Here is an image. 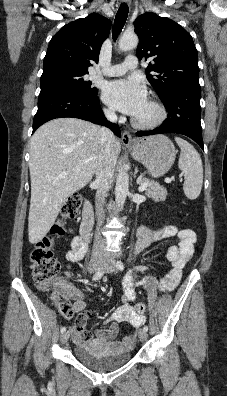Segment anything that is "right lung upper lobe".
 I'll list each match as a JSON object with an SVG mask.
<instances>
[{"label":"right lung upper lobe","instance_id":"right-lung-upper-lobe-1","mask_svg":"<svg viewBox=\"0 0 227 396\" xmlns=\"http://www.w3.org/2000/svg\"><path fill=\"white\" fill-rule=\"evenodd\" d=\"M110 26V20L97 13L63 26L49 43L43 71L53 68L88 71L90 61H98L100 48L108 37Z\"/></svg>","mask_w":227,"mask_h":396}]
</instances>
